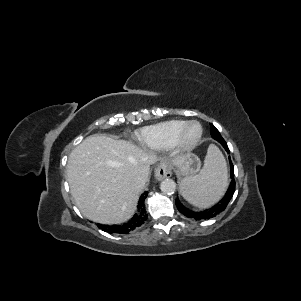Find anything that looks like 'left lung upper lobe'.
Masks as SVG:
<instances>
[{
    "label": "left lung upper lobe",
    "instance_id": "5c2ea615",
    "mask_svg": "<svg viewBox=\"0 0 301 301\" xmlns=\"http://www.w3.org/2000/svg\"><path fill=\"white\" fill-rule=\"evenodd\" d=\"M210 130H211V132H216L219 134V131L215 128V126L213 124H210Z\"/></svg>",
    "mask_w": 301,
    "mask_h": 301
}]
</instances>
